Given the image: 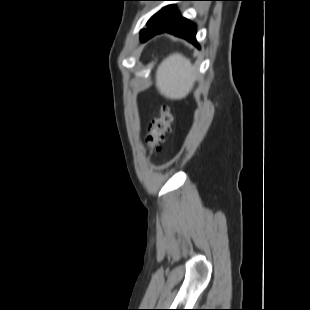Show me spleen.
Segmentation results:
<instances>
[{"label": "spleen", "mask_w": 310, "mask_h": 310, "mask_svg": "<svg viewBox=\"0 0 310 310\" xmlns=\"http://www.w3.org/2000/svg\"><path fill=\"white\" fill-rule=\"evenodd\" d=\"M194 69L188 59L180 54L169 56L158 68L157 87L170 99L185 97L191 87Z\"/></svg>", "instance_id": "obj_1"}]
</instances>
